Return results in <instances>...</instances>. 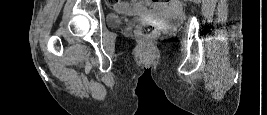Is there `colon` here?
Wrapping results in <instances>:
<instances>
[{"label":"colon","mask_w":267,"mask_h":115,"mask_svg":"<svg viewBox=\"0 0 267 115\" xmlns=\"http://www.w3.org/2000/svg\"><path fill=\"white\" fill-rule=\"evenodd\" d=\"M158 2L157 0H153ZM135 35L142 41H152L159 36V30L153 25L146 24L135 31Z\"/></svg>","instance_id":"5ec220e1"}]
</instances>
